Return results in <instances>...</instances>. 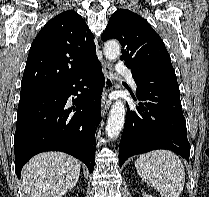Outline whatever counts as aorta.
<instances>
[{
	"instance_id": "obj_1",
	"label": "aorta",
	"mask_w": 209,
	"mask_h": 197,
	"mask_svg": "<svg viewBox=\"0 0 209 197\" xmlns=\"http://www.w3.org/2000/svg\"><path fill=\"white\" fill-rule=\"evenodd\" d=\"M121 47L117 41L110 40L104 45V55L109 61H116L120 56ZM125 123V105L121 100L116 101L111 108L107 125L106 134L114 139L119 136Z\"/></svg>"
}]
</instances>
